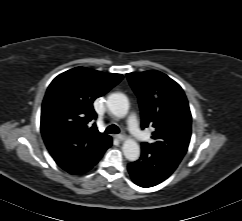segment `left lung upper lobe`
Wrapping results in <instances>:
<instances>
[{
    "label": "left lung upper lobe",
    "mask_w": 242,
    "mask_h": 221,
    "mask_svg": "<svg viewBox=\"0 0 242 221\" xmlns=\"http://www.w3.org/2000/svg\"><path fill=\"white\" fill-rule=\"evenodd\" d=\"M139 98L142 128L151 125L153 142L142 145L180 162L191 137V113L183 89L159 71L126 74Z\"/></svg>",
    "instance_id": "1"
}]
</instances>
